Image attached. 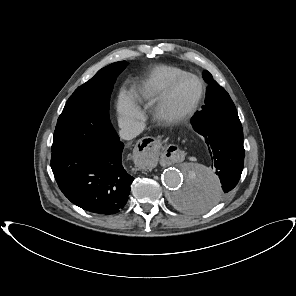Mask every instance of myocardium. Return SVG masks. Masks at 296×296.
<instances>
[{
    "label": "myocardium",
    "mask_w": 296,
    "mask_h": 296,
    "mask_svg": "<svg viewBox=\"0 0 296 296\" xmlns=\"http://www.w3.org/2000/svg\"><path fill=\"white\" fill-rule=\"evenodd\" d=\"M187 78H192L198 83L199 93L196 99L188 107L182 110H177L172 104V94L177 85ZM204 95L205 86L202 80L192 73H184L170 82L159 97L155 109L156 116L160 121L166 124H178L184 122L196 112L204 98Z\"/></svg>",
    "instance_id": "1"
}]
</instances>
